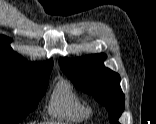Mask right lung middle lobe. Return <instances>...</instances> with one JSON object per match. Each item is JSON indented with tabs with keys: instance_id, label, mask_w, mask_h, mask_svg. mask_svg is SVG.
I'll return each mask as SVG.
<instances>
[{
	"instance_id": "dd1d6c3e",
	"label": "right lung middle lobe",
	"mask_w": 156,
	"mask_h": 124,
	"mask_svg": "<svg viewBox=\"0 0 156 124\" xmlns=\"http://www.w3.org/2000/svg\"><path fill=\"white\" fill-rule=\"evenodd\" d=\"M48 77L0 73V124H15L34 111L47 90Z\"/></svg>"
}]
</instances>
